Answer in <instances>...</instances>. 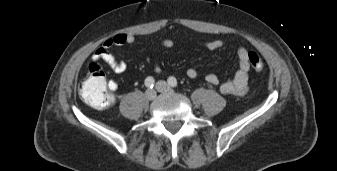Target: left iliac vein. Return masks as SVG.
<instances>
[{"label": "left iliac vein", "mask_w": 337, "mask_h": 171, "mask_svg": "<svg viewBox=\"0 0 337 171\" xmlns=\"http://www.w3.org/2000/svg\"><path fill=\"white\" fill-rule=\"evenodd\" d=\"M156 89L158 92L161 93H166L170 91V87L165 81H158L156 83Z\"/></svg>", "instance_id": "4c4485c4"}]
</instances>
